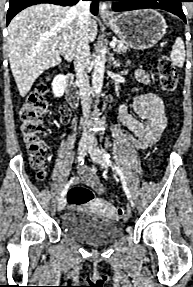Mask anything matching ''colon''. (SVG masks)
Returning a JSON list of instances; mask_svg holds the SVG:
<instances>
[{
    "mask_svg": "<svg viewBox=\"0 0 193 287\" xmlns=\"http://www.w3.org/2000/svg\"><path fill=\"white\" fill-rule=\"evenodd\" d=\"M157 70L162 90L168 94H173L177 89L178 74L170 58L167 56L160 57ZM47 94L48 86L46 79L40 82L29 94L19 111L20 133L30 154L31 164L38 169L37 176L41 181L45 180L47 176L45 170L47 149L45 142L42 140V115L48 107ZM67 113L68 111L65 109L60 110L61 121L63 123L69 121ZM93 198V192L82 186H74L68 192V201L72 206L88 203ZM127 216L128 213L124 207L118 206L115 208V218L124 220Z\"/></svg>",
    "mask_w": 193,
    "mask_h": 287,
    "instance_id": "1",
    "label": "colon"
}]
</instances>
